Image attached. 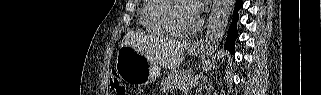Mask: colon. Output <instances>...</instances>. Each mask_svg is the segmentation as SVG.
Returning a JSON list of instances; mask_svg holds the SVG:
<instances>
[{
	"label": "colon",
	"instance_id": "colon-1",
	"mask_svg": "<svg viewBox=\"0 0 321 95\" xmlns=\"http://www.w3.org/2000/svg\"><path fill=\"white\" fill-rule=\"evenodd\" d=\"M110 85L113 91L118 95H125L126 88L117 73H112L110 76Z\"/></svg>",
	"mask_w": 321,
	"mask_h": 95
}]
</instances>
